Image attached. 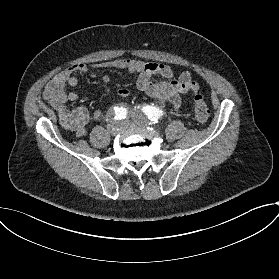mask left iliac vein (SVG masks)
Instances as JSON below:
<instances>
[{
  "instance_id": "4c4485c4",
  "label": "left iliac vein",
  "mask_w": 279,
  "mask_h": 279,
  "mask_svg": "<svg viewBox=\"0 0 279 279\" xmlns=\"http://www.w3.org/2000/svg\"><path fill=\"white\" fill-rule=\"evenodd\" d=\"M129 120L130 121H133L134 120V123L139 126V127H142L143 126V123L141 121H139L138 119H135L134 115L133 116H130L129 117ZM143 129L146 130V131H150L151 133L153 134H158L159 133V130L158 129H154L153 127H149L147 125H144L143 126Z\"/></svg>"
}]
</instances>
